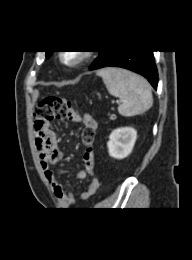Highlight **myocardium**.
<instances>
[{"instance_id":"myocardium-1","label":"myocardium","mask_w":192,"mask_h":260,"mask_svg":"<svg viewBox=\"0 0 192 260\" xmlns=\"http://www.w3.org/2000/svg\"><path fill=\"white\" fill-rule=\"evenodd\" d=\"M70 52H61L60 60L64 64L70 67H77L87 61L90 57V52L88 51H75L76 57L74 59H67L66 55Z\"/></svg>"}]
</instances>
